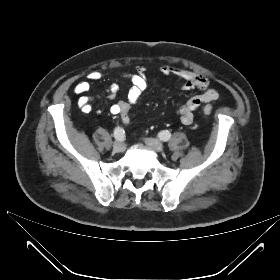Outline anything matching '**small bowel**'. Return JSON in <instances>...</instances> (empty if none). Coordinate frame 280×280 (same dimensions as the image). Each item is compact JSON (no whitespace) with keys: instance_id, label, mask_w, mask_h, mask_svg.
Returning <instances> with one entry per match:
<instances>
[{"instance_id":"small-bowel-1","label":"small bowel","mask_w":280,"mask_h":280,"mask_svg":"<svg viewBox=\"0 0 280 280\" xmlns=\"http://www.w3.org/2000/svg\"><path fill=\"white\" fill-rule=\"evenodd\" d=\"M160 72L164 76H174L178 80L182 90L197 89L199 94L189 98L177 110L180 121L184 125H190L193 122L194 112L202 105L208 104L219 98V92L210 88V82L207 77L202 74L195 73L188 69L165 64L160 66ZM147 67L138 65L133 71L122 74L120 77L131 82V87L127 94L126 102H119L111 107V113L118 115L123 125L130 123L131 107L140 99L142 92L147 88ZM105 77V74L99 70H92L87 74V80L78 81L74 85V92L80 97L77 100L78 107L85 113L92 111L93 98L86 95L91 87V82L99 81ZM119 90L117 83L107 86L102 94L107 99H114Z\"/></svg>"}]
</instances>
